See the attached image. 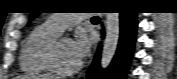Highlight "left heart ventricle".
I'll return each instance as SVG.
<instances>
[{"label":"left heart ventricle","mask_w":177,"mask_h":79,"mask_svg":"<svg viewBox=\"0 0 177 79\" xmlns=\"http://www.w3.org/2000/svg\"><path fill=\"white\" fill-rule=\"evenodd\" d=\"M58 60L63 69H72L79 64L72 48V40L62 38L58 46Z\"/></svg>","instance_id":"b2bd125f"}]
</instances>
